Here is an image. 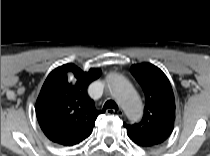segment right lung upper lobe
I'll return each instance as SVG.
<instances>
[{"mask_svg":"<svg viewBox=\"0 0 210 156\" xmlns=\"http://www.w3.org/2000/svg\"><path fill=\"white\" fill-rule=\"evenodd\" d=\"M70 71L75 83L68 80ZM100 73V69L83 72L74 64H65L48 75L36 101V116L51 141L72 146L91 134L103 111L95 109L94 101L87 96V87Z\"/></svg>","mask_w":210,"mask_h":156,"instance_id":"obj_1","label":"right lung upper lobe"}]
</instances>
